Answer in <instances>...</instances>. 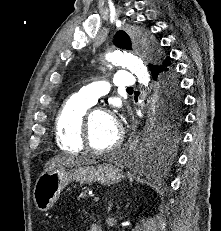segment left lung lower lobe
Wrapping results in <instances>:
<instances>
[{
    "label": "left lung lower lobe",
    "instance_id": "left-lung-lower-lobe-1",
    "mask_svg": "<svg viewBox=\"0 0 221 231\" xmlns=\"http://www.w3.org/2000/svg\"><path fill=\"white\" fill-rule=\"evenodd\" d=\"M149 66L157 87L158 98L156 101L155 114L159 118L165 117L171 112L173 104L181 98L179 94V82L174 69L170 66L169 57L165 58L161 65L150 64ZM164 135L167 134L158 131L153 132L147 142V146H144L137 153L138 158L144 159L154 154L156 147L161 144V138ZM172 136H174V134Z\"/></svg>",
    "mask_w": 221,
    "mask_h": 231
}]
</instances>
